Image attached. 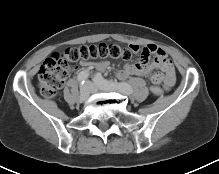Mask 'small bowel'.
<instances>
[{
  "instance_id": "small-bowel-1",
  "label": "small bowel",
  "mask_w": 219,
  "mask_h": 174,
  "mask_svg": "<svg viewBox=\"0 0 219 174\" xmlns=\"http://www.w3.org/2000/svg\"><path fill=\"white\" fill-rule=\"evenodd\" d=\"M130 47L134 52H138L140 47L136 44H131ZM154 55V60L149 66V58ZM148 62L146 66L143 65L144 62ZM83 66L94 67L97 70H104L107 68L108 64L106 62L97 63H85ZM151 68H158L162 71L154 73L151 76V80L156 84H163L166 89L172 87L175 83V70L172 62L168 58L167 54L160 47L154 44H149L145 46L142 50L141 62L138 64H127L124 69L118 72V78L123 80L131 75H148Z\"/></svg>"
}]
</instances>
